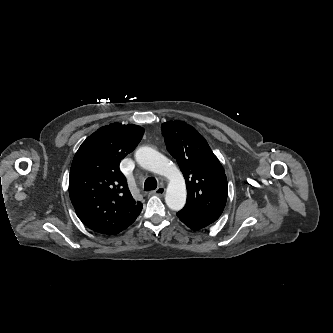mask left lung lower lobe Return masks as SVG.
Masks as SVG:
<instances>
[{"label": "left lung lower lobe", "mask_w": 333, "mask_h": 333, "mask_svg": "<svg viewBox=\"0 0 333 333\" xmlns=\"http://www.w3.org/2000/svg\"><path fill=\"white\" fill-rule=\"evenodd\" d=\"M176 215L187 227L194 231L207 227L219 218L217 215L206 214L187 207H183Z\"/></svg>", "instance_id": "0a47b994"}]
</instances>
